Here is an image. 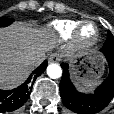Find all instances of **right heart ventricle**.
Wrapping results in <instances>:
<instances>
[{"instance_id": "obj_1", "label": "right heart ventricle", "mask_w": 114, "mask_h": 114, "mask_svg": "<svg viewBox=\"0 0 114 114\" xmlns=\"http://www.w3.org/2000/svg\"><path fill=\"white\" fill-rule=\"evenodd\" d=\"M78 22L73 20H55L50 24V27L62 38L67 39L74 34L78 27Z\"/></svg>"}]
</instances>
